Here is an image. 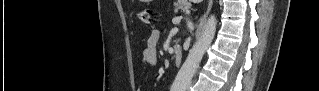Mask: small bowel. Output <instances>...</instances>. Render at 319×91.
Wrapping results in <instances>:
<instances>
[{
	"instance_id": "small-bowel-1",
	"label": "small bowel",
	"mask_w": 319,
	"mask_h": 91,
	"mask_svg": "<svg viewBox=\"0 0 319 91\" xmlns=\"http://www.w3.org/2000/svg\"><path fill=\"white\" fill-rule=\"evenodd\" d=\"M160 39V31L158 29L152 30L150 33L146 46L141 53V61L145 65L154 66L157 63V45Z\"/></svg>"
}]
</instances>
